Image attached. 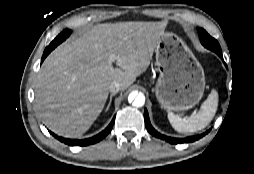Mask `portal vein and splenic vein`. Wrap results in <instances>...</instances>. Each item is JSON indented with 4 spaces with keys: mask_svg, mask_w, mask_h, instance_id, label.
<instances>
[{
    "mask_svg": "<svg viewBox=\"0 0 254 174\" xmlns=\"http://www.w3.org/2000/svg\"><path fill=\"white\" fill-rule=\"evenodd\" d=\"M110 59H111V61H114L116 59V57L112 56Z\"/></svg>",
    "mask_w": 254,
    "mask_h": 174,
    "instance_id": "18ae733b",
    "label": "portal vein and splenic vein"
}]
</instances>
